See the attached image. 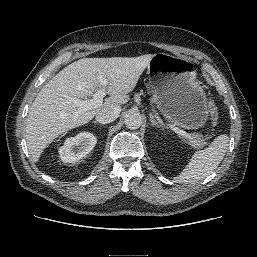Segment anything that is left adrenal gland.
I'll list each match as a JSON object with an SVG mask.
<instances>
[{"instance_id": "a2214340", "label": "left adrenal gland", "mask_w": 257, "mask_h": 257, "mask_svg": "<svg viewBox=\"0 0 257 257\" xmlns=\"http://www.w3.org/2000/svg\"><path fill=\"white\" fill-rule=\"evenodd\" d=\"M149 116H150V121H151L152 126H156V127H158V128H160V127L163 128V127L158 123V121L155 119V117H154V115H153L152 113H150Z\"/></svg>"}]
</instances>
